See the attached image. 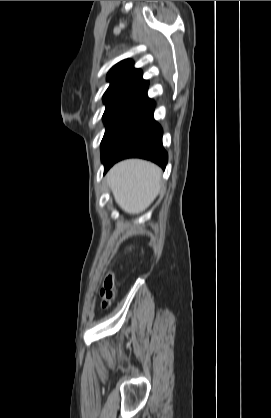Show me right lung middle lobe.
<instances>
[{"label": "right lung middle lobe", "mask_w": 271, "mask_h": 418, "mask_svg": "<svg viewBox=\"0 0 271 418\" xmlns=\"http://www.w3.org/2000/svg\"><path fill=\"white\" fill-rule=\"evenodd\" d=\"M103 114L106 131L101 142V152L127 127L154 108L153 104L134 100L107 102Z\"/></svg>", "instance_id": "dd1d6c3e"}]
</instances>
